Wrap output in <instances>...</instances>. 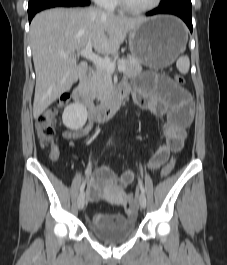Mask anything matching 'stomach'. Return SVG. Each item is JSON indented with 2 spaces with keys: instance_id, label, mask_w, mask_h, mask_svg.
Segmentation results:
<instances>
[{
  "instance_id": "1",
  "label": "stomach",
  "mask_w": 227,
  "mask_h": 265,
  "mask_svg": "<svg viewBox=\"0 0 227 265\" xmlns=\"http://www.w3.org/2000/svg\"><path fill=\"white\" fill-rule=\"evenodd\" d=\"M182 21L174 16L150 18L129 32L131 54L141 64L161 69L171 65L187 43Z\"/></svg>"
}]
</instances>
